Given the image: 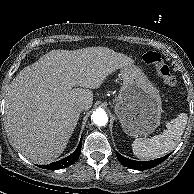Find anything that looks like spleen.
I'll use <instances>...</instances> for the list:
<instances>
[{"label": "spleen", "mask_w": 194, "mask_h": 194, "mask_svg": "<svg viewBox=\"0 0 194 194\" xmlns=\"http://www.w3.org/2000/svg\"><path fill=\"white\" fill-rule=\"evenodd\" d=\"M187 120V114L180 113L166 124L167 129L162 134L151 139L136 138L132 143L134 155L141 160H151L168 154L178 145Z\"/></svg>", "instance_id": "obj_1"}]
</instances>
